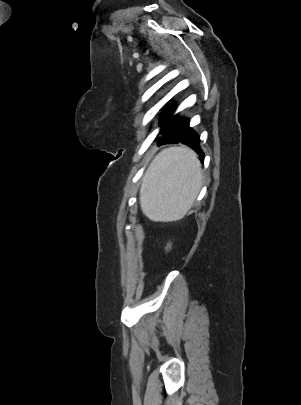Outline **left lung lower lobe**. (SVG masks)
Listing matches in <instances>:
<instances>
[{
    "label": "left lung lower lobe",
    "mask_w": 301,
    "mask_h": 405,
    "mask_svg": "<svg viewBox=\"0 0 301 405\" xmlns=\"http://www.w3.org/2000/svg\"><path fill=\"white\" fill-rule=\"evenodd\" d=\"M175 109H172L167 116L165 122L160 130V137H158L159 145L183 143L192 148L202 158L204 153L200 148L199 135L189 127V121L184 119H177L176 116H172Z\"/></svg>",
    "instance_id": "obj_1"
}]
</instances>
